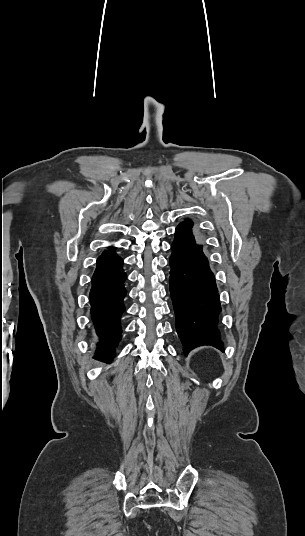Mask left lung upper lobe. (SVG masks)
<instances>
[{"instance_id":"1","label":"left lung upper lobe","mask_w":305,"mask_h":536,"mask_svg":"<svg viewBox=\"0 0 305 536\" xmlns=\"http://www.w3.org/2000/svg\"><path fill=\"white\" fill-rule=\"evenodd\" d=\"M193 226V222L191 220H185V222H182L178 225V227H183L186 229H191Z\"/></svg>"}]
</instances>
